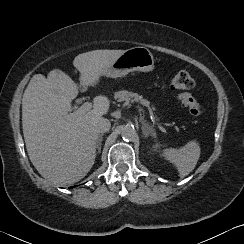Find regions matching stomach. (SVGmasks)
I'll return each instance as SVG.
<instances>
[{"label": "stomach", "instance_id": "stomach-1", "mask_svg": "<svg viewBox=\"0 0 244 244\" xmlns=\"http://www.w3.org/2000/svg\"><path fill=\"white\" fill-rule=\"evenodd\" d=\"M155 59L149 49L142 46H136L124 50L103 75L111 78L126 76L133 71L150 72L154 69Z\"/></svg>", "mask_w": 244, "mask_h": 244}]
</instances>
